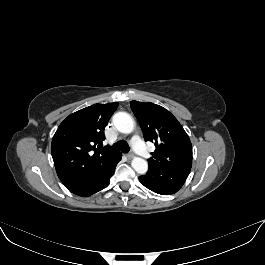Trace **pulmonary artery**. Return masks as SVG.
Here are the masks:
<instances>
[{"label":"pulmonary artery","instance_id":"obj_1","mask_svg":"<svg viewBox=\"0 0 265 265\" xmlns=\"http://www.w3.org/2000/svg\"><path fill=\"white\" fill-rule=\"evenodd\" d=\"M134 150L143 157H149L151 155L150 151L144 145L141 137L139 135H134L131 140Z\"/></svg>","mask_w":265,"mask_h":265}]
</instances>
